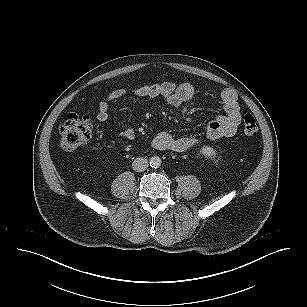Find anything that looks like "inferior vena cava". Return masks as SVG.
Returning a JSON list of instances; mask_svg holds the SVG:
<instances>
[{
	"label": "inferior vena cava",
	"mask_w": 307,
	"mask_h": 307,
	"mask_svg": "<svg viewBox=\"0 0 307 307\" xmlns=\"http://www.w3.org/2000/svg\"><path fill=\"white\" fill-rule=\"evenodd\" d=\"M148 167V161L147 159L143 157L136 158L132 163V168L136 172H143Z\"/></svg>",
	"instance_id": "1"
}]
</instances>
